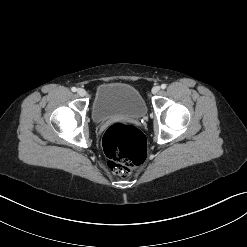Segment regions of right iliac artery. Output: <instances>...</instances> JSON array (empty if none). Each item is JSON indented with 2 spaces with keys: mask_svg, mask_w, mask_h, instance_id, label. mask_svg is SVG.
Wrapping results in <instances>:
<instances>
[{
  "mask_svg": "<svg viewBox=\"0 0 247 247\" xmlns=\"http://www.w3.org/2000/svg\"><path fill=\"white\" fill-rule=\"evenodd\" d=\"M71 90H72V92H76L77 88L76 87H72Z\"/></svg>",
  "mask_w": 247,
  "mask_h": 247,
  "instance_id": "obj_1",
  "label": "right iliac artery"
}]
</instances>
